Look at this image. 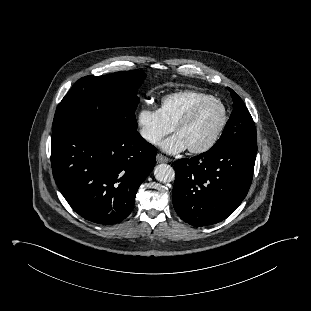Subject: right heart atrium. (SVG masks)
<instances>
[{"instance_id": "right-heart-atrium-1", "label": "right heart atrium", "mask_w": 311, "mask_h": 311, "mask_svg": "<svg viewBox=\"0 0 311 311\" xmlns=\"http://www.w3.org/2000/svg\"><path fill=\"white\" fill-rule=\"evenodd\" d=\"M140 136L149 144L156 145L172 132L171 127L157 109L143 108L137 115Z\"/></svg>"}]
</instances>
